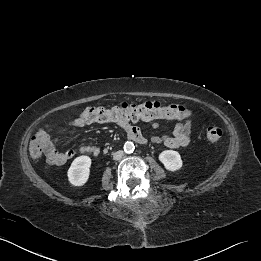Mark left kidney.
Segmentation results:
<instances>
[{
	"label": "left kidney",
	"mask_w": 261,
	"mask_h": 261,
	"mask_svg": "<svg viewBox=\"0 0 261 261\" xmlns=\"http://www.w3.org/2000/svg\"><path fill=\"white\" fill-rule=\"evenodd\" d=\"M159 161L164 165L168 171H176L182 167V159L180 154L174 150H165L160 153Z\"/></svg>",
	"instance_id": "1"
}]
</instances>
